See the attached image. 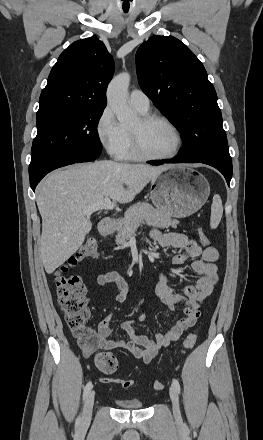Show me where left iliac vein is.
Segmentation results:
<instances>
[{"label":"left iliac vein","mask_w":263,"mask_h":440,"mask_svg":"<svg viewBox=\"0 0 263 440\" xmlns=\"http://www.w3.org/2000/svg\"><path fill=\"white\" fill-rule=\"evenodd\" d=\"M169 392H170V398L172 401V411H173L174 418L177 422H180L181 421V412H180V406H179V397H178L177 391L173 385L170 387Z\"/></svg>","instance_id":"left-iliac-vein-1"}]
</instances>
